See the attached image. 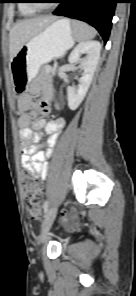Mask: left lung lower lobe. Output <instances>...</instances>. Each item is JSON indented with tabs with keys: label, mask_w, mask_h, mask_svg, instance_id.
<instances>
[{
	"label": "left lung lower lobe",
	"mask_w": 136,
	"mask_h": 296,
	"mask_svg": "<svg viewBox=\"0 0 136 296\" xmlns=\"http://www.w3.org/2000/svg\"><path fill=\"white\" fill-rule=\"evenodd\" d=\"M60 3L53 14L87 22L98 30L105 43L108 41L118 0H61Z\"/></svg>",
	"instance_id": "0a47b994"
}]
</instances>
